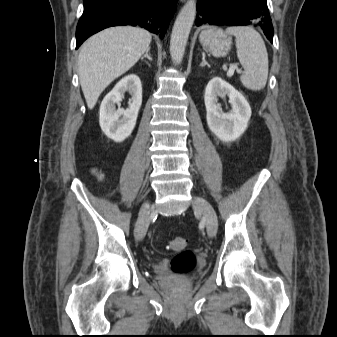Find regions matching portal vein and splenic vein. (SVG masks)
Segmentation results:
<instances>
[{
	"instance_id": "1",
	"label": "portal vein and splenic vein",
	"mask_w": 337,
	"mask_h": 337,
	"mask_svg": "<svg viewBox=\"0 0 337 337\" xmlns=\"http://www.w3.org/2000/svg\"><path fill=\"white\" fill-rule=\"evenodd\" d=\"M235 70L240 74L243 73V71L241 69H238L235 65H230L227 75L229 77L233 76Z\"/></svg>"
}]
</instances>
